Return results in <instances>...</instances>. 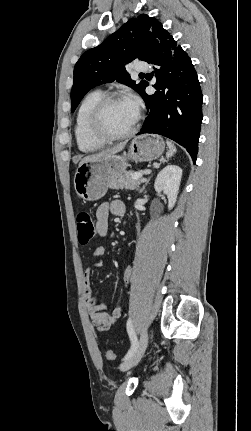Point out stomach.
I'll return each instance as SVG.
<instances>
[{"mask_svg": "<svg viewBox=\"0 0 251 431\" xmlns=\"http://www.w3.org/2000/svg\"><path fill=\"white\" fill-rule=\"evenodd\" d=\"M165 144L159 136L141 135L135 137L128 151L122 155H108L78 166L74 176V188L84 201H96L102 198L113 178L123 175L128 161L145 162L159 158Z\"/></svg>", "mask_w": 251, "mask_h": 431, "instance_id": "1", "label": "stomach"}]
</instances>
